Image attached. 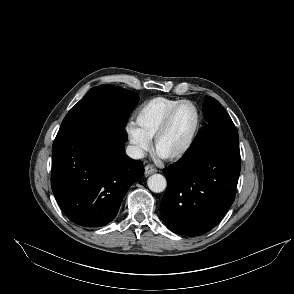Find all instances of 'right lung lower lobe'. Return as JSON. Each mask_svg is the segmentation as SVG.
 Listing matches in <instances>:
<instances>
[{"mask_svg": "<svg viewBox=\"0 0 294 294\" xmlns=\"http://www.w3.org/2000/svg\"><path fill=\"white\" fill-rule=\"evenodd\" d=\"M101 104L114 101L108 88L90 89ZM127 133L111 125L56 136L51 186L56 201L74 223L100 227L111 222L129 187L144 174L143 163L124 153Z\"/></svg>", "mask_w": 294, "mask_h": 294, "instance_id": "obj_1", "label": "right lung lower lobe"}]
</instances>
